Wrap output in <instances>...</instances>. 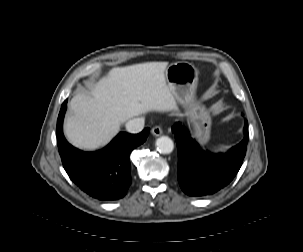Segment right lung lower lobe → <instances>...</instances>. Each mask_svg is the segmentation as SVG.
Segmentation results:
<instances>
[{
	"instance_id": "98d812e1",
	"label": "right lung lower lobe",
	"mask_w": 303,
	"mask_h": 252,
	"mask_svg": "<svg viewBox=\"0 0 303 252\" xmlns=\"http://www.w3.org/2000/svg\"><path fill=\"white\" fill-rule=\"evenodd\" d=\"M66 108L67 100L63 102L57 120V143L68 176L96 199L122 198L131 184L129 154L147 139L150 129L145 128L139 134L121 132L105 148L83 152L69 144L63 135Z\"/></svg>"
}]
</instances>
